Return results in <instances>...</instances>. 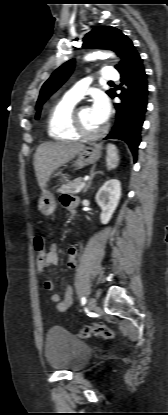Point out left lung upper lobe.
I'll return each mask as SVG.
<instances>
[{
	"mask_svg": "<svg viewBox=\"0 0 168 415\" xmlns=\"http://www.w3.org/2000/svg\"><path fill=\"white\" fill-rule=\"evenodd\" d=\"M83 48L110 49L122 58L121 63L115 68L121 72L124 70L131 59L137 55V51L132 41L120 30L111 26H100L94 28L86 34L83 39ZM74 69V60L61 65L56 69L49 79L43 84L37 101V109L48 99L71 75ZM114 89L106 93L110 96Z\"/></svg>",
	"mask_w": 168,
	"mask_h": 415,
	"instance_id": "obj_1",
	"label": "left lung upper lobe"
}]
</instances>
